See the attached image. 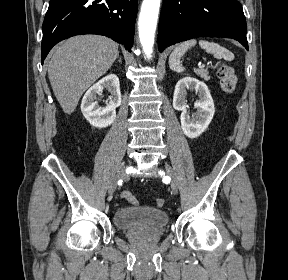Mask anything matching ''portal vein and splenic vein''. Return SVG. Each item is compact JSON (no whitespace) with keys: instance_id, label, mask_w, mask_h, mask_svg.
Wrapping results in <instances>:
<instances>
[{"instance_id":"1","label":"portal vein and splenic vein","mask_w":288,"mask_h":280,"mask_svg":"<svg viewBox=\"0 0 288 280\" xmlns=\"http://www.w3.org/2000/svg\"><path fill=\"white\" fill-rule=\"evenodd\" d=\"M199 68L203 67L204 65H202L201 63L198 64Z\"/></svg>"}]
</instances>
